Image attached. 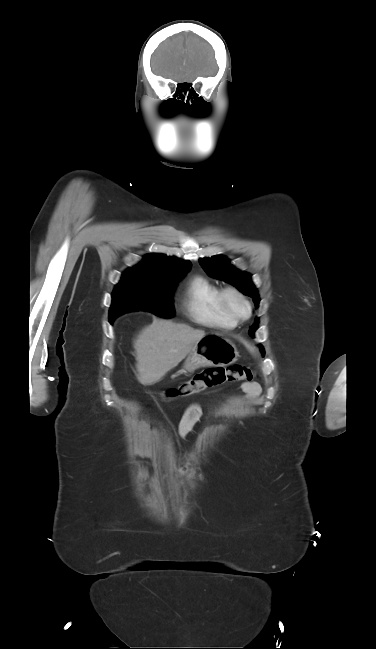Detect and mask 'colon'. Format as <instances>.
Instances as JSON below:
<instances>
[{
  "instance_id": "obj_1",
  "label": "colon",
  "mask_w": 376,
  "mask_h": 649,
  "mask_svg": "<svg viewBox=\"0 0 376 649\" xmlns=\"http://www.w3.org/2000/svg\"><path fill=\"white\" fill-rule=\"evenodd\" d=\"M254 376L250 367L241 364L208 367L195 373L188 380L165 390L162 396L168 400L185 398L228 381L250 382Z\"/></svg>"
}]
</instances>
